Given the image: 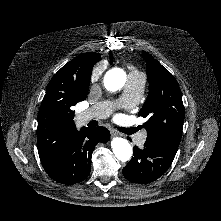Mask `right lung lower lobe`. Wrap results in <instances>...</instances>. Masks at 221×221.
<instances>
[{"label":"right lung lower lobe","mask_w":221,"mask_h":221,"mask_svg":"<svg viewBox=\"0 0 221 221\" xmlns=\"http://www.w3.org/2000/svg\"><path fill=\"white\" fill-rule=\"evenodd\" d=\"M109 139V131L102 126L76 129L64 141L53 168L47 174L54 181L66 185L83 181L90 174L91 155L96 144Z\"/></svg>","instance_id":"obj_1"}]
</instances>
